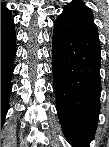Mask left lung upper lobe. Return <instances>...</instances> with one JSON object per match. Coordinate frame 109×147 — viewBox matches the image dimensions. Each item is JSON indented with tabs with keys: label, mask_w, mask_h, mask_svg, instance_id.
Returning <instances> with one entry per match:
<instances>
[{
	"label": "left lung upper lobe",
	"mask_w": 109,
	"mask_h": 147,
	"mask_svg": "<svg viewBox=\"0 0 109 147\" xmlns=\"http://www.w3.org/2000/svg\"><path fill=\"white\" fill-rule=\"evenodd\" d=\"M77 3H79V4H81V5H83L86 9H88V7H86L84 4H82L81 2H77ZM89 10V9H88ZM90 11V10H89Z\"/></svg>",
	"instance_id": "1"
}]
</instances>
